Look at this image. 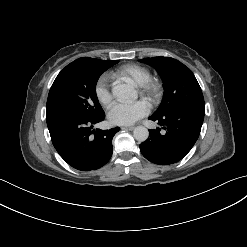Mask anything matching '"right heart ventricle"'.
Listing matches in <instances>:
<instances>
[{
  "label": "right heart ventricle",
  "instance_id": "right-heart-ventricle-1",
  "mask_svg": "<svg viewBox=\"0 0 247 247\" xmlns=\"http://www.w3.org/2000/svg\"><path fill=\"white\" fill-rule=\"evenodd\" d=\"M117 73L121 76L130 77L138 86L143 85L151 78L149 69L137 64L124 65L117 71Z\"/></svg>",
  "mask_w": 247,
  "mask_h": 247
}]
</instances>
